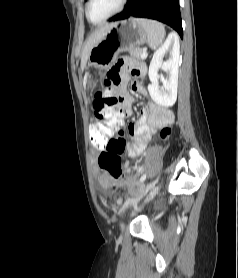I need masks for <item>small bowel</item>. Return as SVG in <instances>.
<instances>
[{
	"label": "small bowel",
	"instance_id": "obj_1",
	"mask_svg": "<svg viewBox=\"0 0 238 278\" xmlns=\"http://www.w3.org/2000/svg\"><path fill=\"white\" fill-rule=\"evenodd\" d=\"M127 55H118L117 59H113V64L107 68L106 76L110 85H114V89H119L120 93H115V98H118V102H121L120 118L130 116L132 114L133 97L127 92L128 76L122 74L125 67L132 72L134 76H143L146 72V67L143 64L127 60ZM133 91L146 95L147 90L145 86L139 81H135L132 85ZM173 121V113L165 108L157 106L154 103H149L148 108H144L141 111L139 120L136 123H131L128 127H121L122 120H120L119 127L116 128V133H112L109 137L108 144H127L125 153L131 157L141 155L152 138L153 134L159 127L166 126ZM95 124H100L99 122ZM99 130V129H91ZM128 131L131 138L124 137V133ZM94 137V135H92ZM104 152V149H103ZM124 153V154H125ZM124 154H121L124 155ZM107 176L103 178L105 185L113 183V178L106 173Z\"/></svg>",
	"mask_w": 238,
	"mask_h": 278
}]
</instances>
